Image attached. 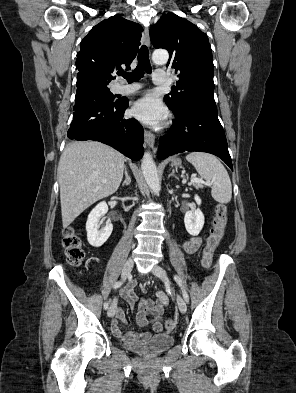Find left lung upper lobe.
<instances>
[{"mask_svg":"<svg viewBox=\"0 0 296 393\" xmlns=\"http://www.w3.org/2000/svg\"><path fill=\"white\" fill-rule=\"evenodd\" d=\"M155 48H165L167 66L175 69L179 80L164 100L174 115L192 104L214 100V65L208 37L197 26L175 14H164L150 28Z\"/></svg>","mask_w":296,"mask_h":393,"instance_id":"obj_1","label":"left lung upper lobe"}]
</instances>
